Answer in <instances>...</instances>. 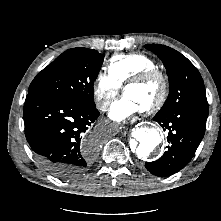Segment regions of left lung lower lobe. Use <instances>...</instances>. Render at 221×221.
<instances>
[{
  "label": "left lung lower lobe",
  "mask_w": 221,
  "mask_h": 221,
  "mask_svg": "<svg viewBox=\"0 0 221 221\" xmlns=\"http://www.w3.org/2000/svg\"><path fill=\"white\" fill-rule=\"evenodd\" d=\"M207 117L208 109L195 105L156 114L154 121L169 130L167 140L170 146L160 159L145 163L147 170L155 176L166 177L183 169L204 136Z\"/></svg>",
  "instance_id": "0a47b994"
}]
</instances>
